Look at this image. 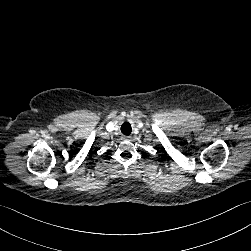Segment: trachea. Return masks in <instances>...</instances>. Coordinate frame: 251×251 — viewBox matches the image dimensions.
Returning a JSON list of instances; mask_svg holds the SVG:
<instances>
[{"label":"trachea","instance_id":"1","mask_svg":"<svg viewBox=\"0 0 251 251\" xmlns=\"http://www.w3.org/2000/svg\"><path fill=\"white\" fill-rule=\"evenodd\" d=\"M121 132L124 135H130L132 132V128L131 125L128 122H124L121 126Z\"/></svg>","mask_w":251,"mask_h":251}]
</instances>
